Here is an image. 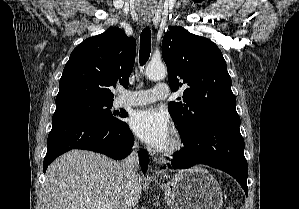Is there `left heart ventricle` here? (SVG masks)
Instances as JSON below:
<instances>
[{
	"label": "left heart ventricle",
	"mask_w": 299,
	"mask_h": 209,
	"mask_svg": "<svg viewBox=\"0 0 299 209\" xmlns=\"http://www.w3.org/2000/svg\"><path fill=\"white\" fill-rule=\"evenodd\" d=\"M168 143H169V140L167 141V143L163 147H166L168 145Z\"/></svg>",
	"instance_id": "1"
}]
</instances>
